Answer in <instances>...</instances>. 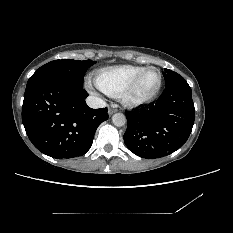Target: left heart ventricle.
<instances>
[{"label": "left heart ventricle", "mask_w": 233, "mask_h": 233, "mask_svg": "<svg viewBox=\"0 0 233 233\" xmlns=\"http://www.w3.org/2000/svg\"><path fill=\"white\" fill-rule=\"evenodd\" d=\"M159 82V75L156 70H149L144 74L141 78L140 82L138 83L135 91L134 97L135 98H144L148 95L152 94Z\"/></svg>", "instance_id": "left-heart-ventricle-1"}]
</instances>
